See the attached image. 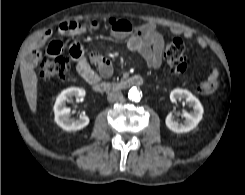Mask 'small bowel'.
<instances>
[{"label": "small bowel", "mask_w": 245, "mask_h": 195, "mask_svg": "<svg viewBox=\"0 0 245 195\" xmlns=\"http://www.w3.org/2000/svg\"><path fill=\"white\" fill-rule=\"evenodd\" d=\"M101 25L107 26L114 37L124 39L129 36L127 46L129 50L137 52L143 58L146 65L150 68H159L163 62L164 39L154 23H144L134 26L131 22L124 19L105 18L99 21H90L88 27L97 29ZM60 33L69 36L84 34L87 27L74 21H65L59 26ZM170 32L173 35L183 36L188 40H195L201 48H207V41L196 35L191 30H185L179 27H171ZM51 36L50 31L44 32L33 43L28 60L31 65H35L41 57V48L48 42ZM63 51V45L59 41H51L47 45V52L51 56H58ZM70 55L76 62L78 74L88 83L93 84L99 78H108L113 73L112 63L103 55L93 52L86 55L82 45L79 42H73L70 46ZM219 85V70L214 67L206 80L197 86V91L203 95L212 94Z\"/></svg>", "instance_id": "1"}]
</instances>
